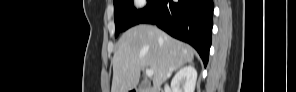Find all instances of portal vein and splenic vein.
<instances>
[{"label": "portal vein and splenic vein", "instance_id": "1", "mask_svg": "<svg viewBox=\"0 0 296 92\" xmlns=\"http://www.w3.org/2000/svg\"><path fill=\"white\" fill-rule=\"evenodd\" d=\"M154 74V71L152 69L146 68V75L148 77H152Z\"/></svg>", "mask_w": 296, "mask_h": 92}]
</instances>
